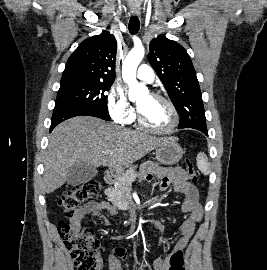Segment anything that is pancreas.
<instances>
[{"instance_id":"obj_1","label":"pancreas","mask_w":267,"mask_h":270,"mask_svg":"<svg viewBox=\"0 0 267 270\" xmlns=\"http://www.w3.org/2000/svg\"><path fill=\"white\" fill-rule=\"evenodd\" d=\"M136 166L129 168L125 173L118 176L112 183L113 187L105 190V195L114 205L119 203H131V186L137 174L135 172Z\"/></svg>"}]
</instances>
